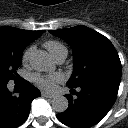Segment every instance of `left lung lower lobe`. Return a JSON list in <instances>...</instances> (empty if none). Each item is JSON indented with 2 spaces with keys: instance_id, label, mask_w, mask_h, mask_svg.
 Listing matches in <instances>:
<instances>
[{
  "instance_id": "left-lung-lower-lobe-1",
  "label": "left lung lower lobe",
  "mask_w": 128,
  "mask_h": 128,
  "mask_svg": "<svg viewBox=\"0 0 128 128\" xmlns=\"http://www.w3.org/2000/svg\"><path fill=\"white\" fill-rule=\"evenodd\" d=\"M121 77L113 75H96L84 84L77 86V97L66 95L69 101L68 109L57 114L63 124L72 128H89L97 124L113 106ZM74 94L75 86L68 85Z\"/></svg>"
}]
</instances>
